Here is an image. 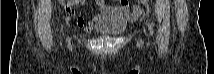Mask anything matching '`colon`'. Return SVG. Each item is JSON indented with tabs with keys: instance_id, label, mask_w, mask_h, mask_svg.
<instances>
[{
	"instance_id": "colon-1",
	"label": "colon",
	"mask_w": 214,
	"mask_h": 74,
	"mask_svg": "<svg viewBox=\"0 0 214 74\" xmlns=\"http://www.w3.org/2000/svg\"><path fill=\"white\" fill-rule=\"evenodd\" d=\"M71 2H77V1H71ZM123 3H127V1H122ZM148 2V0H139L138 1V3L139 4H142V5H144V4H146Z\"/></svg>"
}]
</instances>
